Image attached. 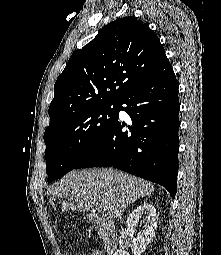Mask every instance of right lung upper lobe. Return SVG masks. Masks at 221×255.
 Returning <instances> with one entry per match:
<instances>
[{
    "label": "right lung upper lobe",
    "mask_w": 221,
    "mask_h": 255,
    "mask_svg": "<svg viewBox=\"0 0 221 255\" xmlns=\"http://www.w3.org/2000/svg\"><path fill=\"white\" fill-rule=\"evenodd\" d=\"M164 57L157 35L143 21L129 16L109 23L72 54L57 78L45 131L83 108L119 103Z\"/></svg>",
    "instance_id": "cb5924a9"
}]
</instances>
